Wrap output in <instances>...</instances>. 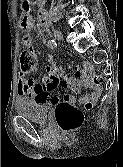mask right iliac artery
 Wrapping results in <instances>:
<instances>
[{
    "instance_id": "right-iliac-artery-1",
    "label": "right iliac artery",
    "mask_w": 123,
    "mask_h": 167,
    "mask_svg": "<svg viewBox=\"0 0 123 167\" xmlns=\"http://www.w3.org/2000/svg\"><path fill=\"white\" fill-rule=\"evenodd\" d=\"M48 47L54 49L57 47V43L54 40H49L48 41Z\"/></svg>"
}]
</instances>
